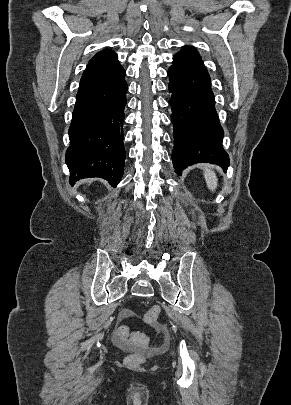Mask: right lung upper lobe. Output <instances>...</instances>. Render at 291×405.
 Segmentation results:
<instances>
[{
	"instance_id": "cb5924a9",
	"label": "right lung upper lobe",
	"mask_w": 291,
	"mask_h": 405,
	"mask_svg": "<svg viewBox=\"0 0 291 405\" xmlns=\"http://www.w3.org/2000/svg\"><path fill=\"white\" fill-rule=\"evenodd\" d=\"M124 69L112 50L97 53L88 63L80 80L79 89L115 77Z\"/></svg>"
}]
</instances>
